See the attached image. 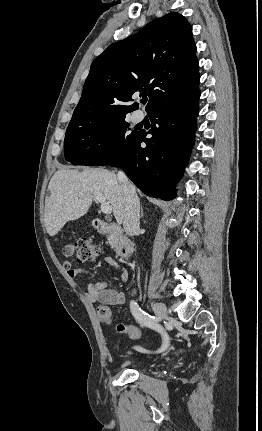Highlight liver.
I'll use <instances>...</instances> for the list:
<instances>
[{
	"label": "liver",
	"mask_w": 262,
	"mask_h": 431,
	"mask_svg": "<svg viewBox=\"0 0 262 431\" xmlns=\"http://www.w3.org/2000/svg\"><path fill=\"white\" fill-rule=\"evenodd\" d=\"M48 190L50 196L45 201L44 222L50 236H55L68 221L84 216L95 193H101L108 200L117 222H123L124 192L116 174L111 171L103 168L60 169L51 178Z\"/></svg>",
	"instance_id": "1"
}]
</instances>
